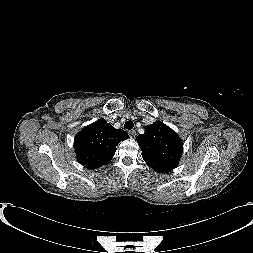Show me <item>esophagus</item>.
I'll use <instances>...</instances> for the list:
<instances>
[{"label":"esophagus","mask_w":253,"mask_h":253,"mask_svg":"<svg viewBox=\"0 0 253 253\" xmlns=\"http://www.w3.org/2000/svg\"><path fill=\"white\" fill-rule=\"evenodd\" d=\"M129 135L131 138H134L136 136V131L135 130L129 131Z\"/></svg>","instance_id":"34e87169"}]
</instances>
